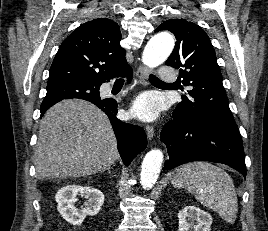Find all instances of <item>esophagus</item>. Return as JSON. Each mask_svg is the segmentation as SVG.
Listing matches in <instances>:
<instances>
[{
    "mask_svg": "<svg viewBox=\"0 0 268 231\" xmlns=\"http://www.w3.org/2000/svg\"><path fill=\"white\" fill-rule=\"evenodd\" d=\"M149 70L146 66L140 64L137 68V77H138V82L141 85H146L147 84V77H148ZM146 134L149 140H151L154 136V127L152 125H147L145 127Z\"/></svg>",
    "mask_w": 268,
    "mask_h": 231,
    "instance_id": "34e87169",
    "label": "esophagus"
}]
</instances>
